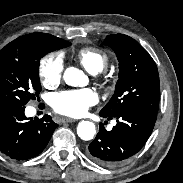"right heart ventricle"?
I'll return each mask as SVG.
<instances>
[{
  "label": "right heart ventricle",
  "instance_id": "right-heart-ventricle-1",
  "mask_svg": "<svg viewBox=\"0 0 183 183\" xmlns=\"http://www.w3.org/2000/svg\"><path fill=\"white\" fill-rule=\"evenodd\" d=\"M77 59L80 64L90 73L97 74L102 72L108 64V55L105 51L85 47L78 51Z\"/></svg>",
  "mask_w": 183,
  "mask_h": 183
}]
</instances>
